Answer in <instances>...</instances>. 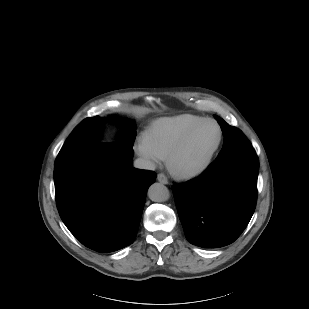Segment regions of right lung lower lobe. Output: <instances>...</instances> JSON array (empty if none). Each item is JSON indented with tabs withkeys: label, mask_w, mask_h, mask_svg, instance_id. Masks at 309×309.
<instances>
[{
	"label": "right lung lower lobe",
	"mask_w": 309,
	"mask_h": 309,
	"mask_svg": "<svg viewBox=\"0 0 309 309\" xmlns=\"http://www.w3.org/2000/svg\"><path fill=\"white\" fill-rule=\"evenodd\" d=\"M132 147L94 142L54 168L57 208L86 247L112 252L133 243L155 173L132 168Z\"/></svg>",
	"instance_id": "1"
}]
</instances>
